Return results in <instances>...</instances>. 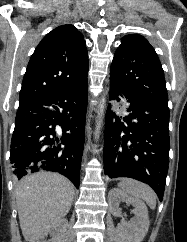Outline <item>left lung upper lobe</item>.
<instances>
[{"mask_svg":"<svg viewBox=\"0 0 187 242\" xmlns=\"http://www.w3.org/2000/svg\"><path fill=\"white\" fill-rule=\"evenodd\" d=\"M110 80L137 96L168 107L162 65L154 48L141 35L122 38L110 67Z\"/></svg>","mask_w":187,"mask_h":242,"instance_id":"left-lung-upper-lobe-1","label":"left lung upper lobe"}]
</instances>
